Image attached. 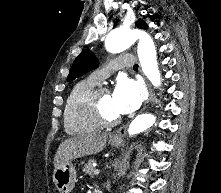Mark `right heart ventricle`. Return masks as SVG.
<instances>
[{"mask_svg":"<svg viewBox=\"0 0 221 193\" xmlns=\"http://www.w3.org/2000/svg\"><path fill=\"white\" fill-rule=\"evenodd\" d=\"M98 82L92 77L82 79L70 90L64 107V128L69 135L89 134L101 126L87 117L81 109V101Z\"/></svg>","mask_w":221,"mask_h":193,"instance_id":"right-heart-ventricle-1","label":"right heart ventricle"}]
</instances>
